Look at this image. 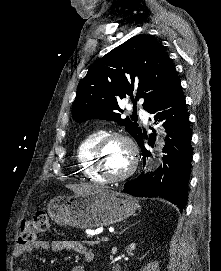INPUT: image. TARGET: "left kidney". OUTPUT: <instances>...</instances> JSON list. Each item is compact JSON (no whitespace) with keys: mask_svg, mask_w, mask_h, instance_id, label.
I'll return each mask as SVG.
<instances>
[{"mask_svg":"<svg viewBox=\"0 0 221 271\" xmlns=\"http://www.w3.org/2000/svg\"><path fill=\"white\" fill-rule=\"evenodd\" d=\"M133 249H136V243H130V245H128L127 253H129V255H134Z\"/></svg>","mask_w":221,"mask_h":271,"instance_id":"left-kidney-1","label":"left kidney"}]
</instances>
